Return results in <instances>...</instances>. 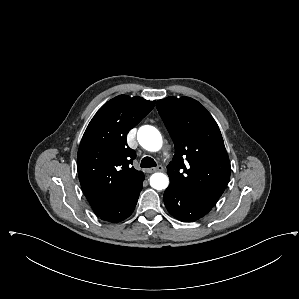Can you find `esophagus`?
<instances>
[{
	"label": "esophagus",
	"mask_w": 299,
	"mask_h": 299,
	"mask_svg": "<svg viewBox=\"0 0 299 299\" xmlns=\"http://www.w3.org/2000/svg\"><path fill=\"white\" fill-rule=\"evenodd\" d=\"M157 171H163V166L162 165H158L155 168L146 169L147 173H153V172H157Z\"/></svg>",
	"instance_id": "esophagus-1"
}]
</instances>
